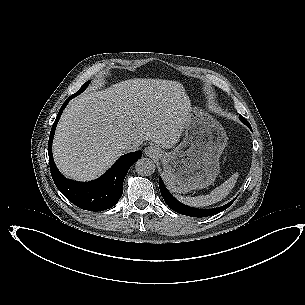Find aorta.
Returning a JSON list of instances; mask_svg holds the SVG:
<instances>
[{"instance_id":"1","label":"aorta","mask_w":305,"mask_h":305,"mask_svg":"<svg viewBox=\"0 0 305 305\" xmlns=\"http://www.w3.org/2000/svg\"><path fill=\"white\" fill-rule=\"evenodd\" d=\"M156 165L154 161L149 158L142 157L135 163V170L138 174L143 176H150L155 172Z\"/></svg>"}]
</instances>
